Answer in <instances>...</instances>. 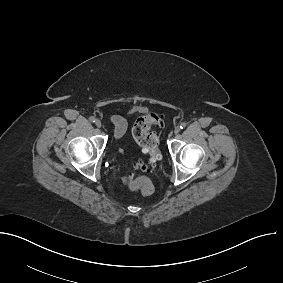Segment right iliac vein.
Instances as JSON below:
<instances>
[{"mask_svg":"<svg viewBox=\"0 0 283 283\" xmlns=\"http://www.w3.org/2000/svg\"><path fill=\"white\" fill-rule=\"evenodd\" d=\"M95 124H96V126L99 127V128L102 126V123H101L100 120H96Z\"/></svg>","mask_w":283,"mask_h":283,"instance_id":"1","label":"right iliac vein"}]
</instances>
